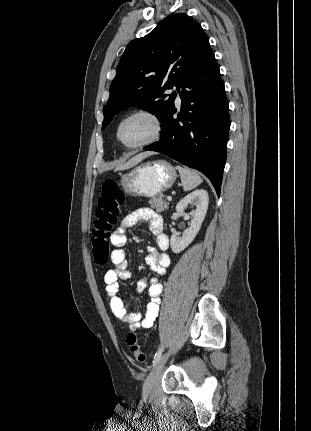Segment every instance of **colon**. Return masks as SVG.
<instances>
[{
  "instance_id": "colon-1",
  "label": "colon",
  "mask_w": 311,
  "mask_h": 431,
  "mask_svg": "<svg viewBox=\"0 0 311 431\" xmlns=\"http://www.w3.org/2000/svg\"><path fill=\"white\" fill-rule=\"evenodd\" d=\"M124 201L125 194L120 182L116 179L105 180L97 202L91 236L92 253L98 264H105L109 259L111 232L117 221L120 206ZM126 343L134 361L143 363L146 357L141 350L136 334L128 333Z\"/></svg>"
}]
</instances>
